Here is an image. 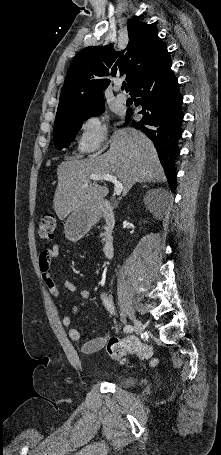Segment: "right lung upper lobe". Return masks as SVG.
<instances>
[{"label": "right lung upper lobe", "instance_id": "right-lung-upper-lobe-1", "mask_svg": "<svg viewBox=\"0 0 221 455\" xmlns=\"http://www.w3.org/2000/svg\"><path fill=\"white\" fill-rule=\"evenodd\" d=\"M129 43L122 51L112 45L86 47L71 63L61 91L56 120L104 103L103 89L109 77L125 76L127 91L167 50L157 29L139 21L127 25Z\"/></svg>", "mask_w": 221, "mask_h": 455}]
</instances>
